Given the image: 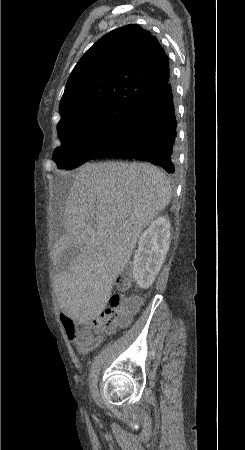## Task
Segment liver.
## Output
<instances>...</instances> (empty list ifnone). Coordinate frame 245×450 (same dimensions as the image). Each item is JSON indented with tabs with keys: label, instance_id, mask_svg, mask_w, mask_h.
<instances>
[{
	"label": "liver",
	"instance_id": "liver-1",
	"mask_svg": "<svg viewBox=\"0 0 245 450\" xmlns=\"http://www.w3.org/2000/svg\"><path fill=\"white\" fill-rule=\"evenodd\" d=\"M166 174L148 163L101 162L80 167L64 206L66 234L55 244V292L60 308L88 320L107 305L142 231L168 205ZM78 254L61 267L64 254Z\"/></svg>",
	"mask_w": 245,
	"mask_h": 450
}]
</instances>
